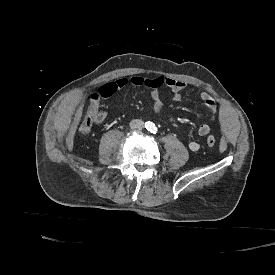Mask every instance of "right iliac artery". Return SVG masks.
<instances>
[{"mask_svg":"<svg viewBox=\"0 0 275 275\" xmlns=\"http://www.w3.org/2000/svg\"><path fill=\"white\" fill-rule=\"evenodd\" d=\"M146 125H147V127H150V128H152V127H153V123H152V122H150V121L146 122Z\"/></svg>","mask_w":275,"mask_h":275,"instance_id":"1","label":"right iliac artery"}]
</instances>
